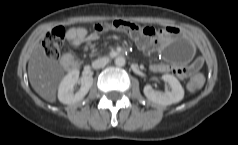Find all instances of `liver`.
Wrapping results in <instances>:
<instances>
[{
    "mask_svg": "<svg viewBox=\"0 0 238 145\" xmlns=\"http://www.w3.org/2000/svg\"><path fill=\"white\" fill-rule=\"evenodd\" d=\"M70 66H63L46 55L41 44L35 45L29 63L28 76L32 88L48 102L56 101L57 86Z\"/></svg>",
    "mask_w": 238,
    "mask_h": 145,
    "instance_id": "1",
    "label": "liver"
}]
</instances>
